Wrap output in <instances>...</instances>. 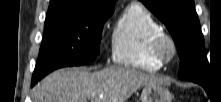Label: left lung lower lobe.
Segmentation results:
<instances>
[{
  "mask_svg": "<svg viewBox=\"0 0 221 102\" xmlns=\"http://www.w3.org/2000/svg\"><path fill=\"white\" fill-rule=\"evenodd\" d=\"M205 89H207L208 82L201 84Z\"/></svg>",
  "mask_w": 221,
  "mask_h": 102,
  "instance_id": "0a47b994",
  "label": "left lung lower lobe"
}]
</instances>
